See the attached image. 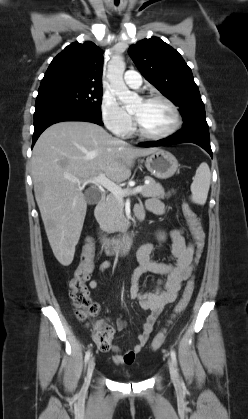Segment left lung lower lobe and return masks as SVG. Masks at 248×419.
I'll return each instance as SVG.
<instances>
[{
    "label": "left lung lower lobe",
    "instance_id": "obj_1",
    "mask_svg": "<svg viewBox=\"0 0 248 419\" xmlns=\"http://www.w3.org/2000/svg\"><path fill=\"white\" fill-rule=\"evenodd\" d=\"M195 143L205 149L213 157L210 147L209 127L206 118L196 119L192 123L183 126L174 135L154 142L140 143L143 147H154L163 145H173L178 143Z\"/></svg>",
    "mask_w": 248,
    "mask_h": 419
}]
</instances>
